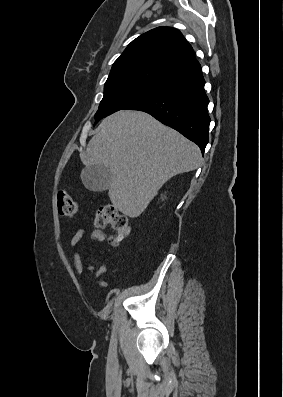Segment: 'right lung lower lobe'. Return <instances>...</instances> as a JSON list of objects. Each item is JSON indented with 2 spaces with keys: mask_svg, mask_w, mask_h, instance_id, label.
Here are the masks:
<instances>
[{
  "mask_svg": "<svg viewBox=\"0 0 283 397\" xmlns=\"http://www.w3.org/2000/svg\"><path fill=\"white\" fill-rule=\"evenodd\" d=\"M202 70L168 82L134 103L127 110L144 111L196 143L202 153L209 141V99Z\"/></svg>",
  "mask_w": 283,
  "mask_h": 397,
  "instance_id": "obj_1",
  "label": "right lung lower lobe"
}]
</instances>
